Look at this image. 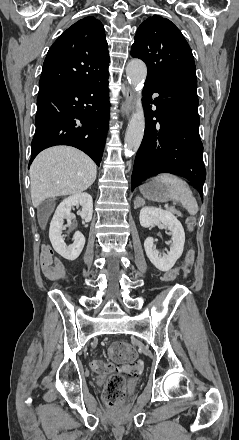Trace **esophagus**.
<instances>
[{
	"instance_id": "obj_1",
	"label": "esophagus",
	"mask_w": 239,
	"mask_h": 440,
	"mask_svg": "<svg viewBox=\"0 0 239 440\" xmlns=\"http://www.w3.org/2000/svg\"><path fill=\"white\" fill-rule=\"evenodd\" d=\"M134 93L132 89L128 86L126 90V99L122 107L124 114L129 115L134 106Z\"/></svg>"
}]
</instances>
